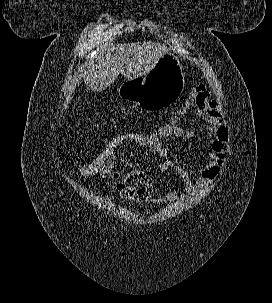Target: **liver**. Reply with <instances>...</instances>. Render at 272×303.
I'll return each instance as SVG.
<instances>
[{
    "instance_id": "1",
    "label": "liver",
    "mask_w": 272,
    "mask_h": 303,
    "mask_svg": "<svg viewBox=\"0 0 272 303\" xmlns=\"http://www.w3.org/2000/svg\"><path fill=\"white\" fill-rule=\"evenodd\" d=\"M168 52L166 46L151 41L128 44L110 42L85 64L84 82L90 90L100 92L120 74L126 80L146 75Z\"/></svg>"
}]
</instances>
